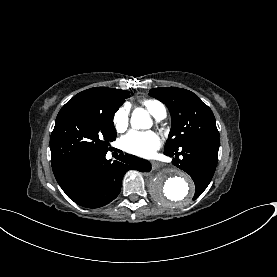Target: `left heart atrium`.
<instances>
[{
    "mask_svg": "<svg viewBox=\"0 0 277 277\" xmlns=\"http://www.w3.org/2000/svg\"><path fill=\"white\" fill-rule=\"evenodd\" d=\"M160 145V139L153 132L130 131L120 141L122 149L143 157L151 156Z\"/></svg>",
    "mask_w": 277,
    "mask_h": 277,
    "instance_id": "obj_1",
    "label": "left heart atrium"
}]
</instances>
